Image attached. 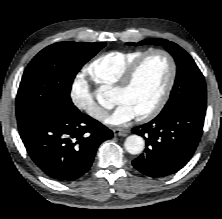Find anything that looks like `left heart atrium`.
Returning <instances> with one entry per match:
<instances>
[{
  "instance_id": "obj_1",
  "label": "left heart atrium",
  "mask_w": 222,
  "mask_h": 219,
  "mask_svg": "<svg viewBox=\"0 0 222 219\" xmlns=\"http://www.w3.org/2000/svg\"><path fill=\"white\" fill-rule=\"evenodd\" d=\"M135 111L126 103H119L112 114L105 120L109 125L121 126L136 117Z\"/></svg>"
}]
</instances>
